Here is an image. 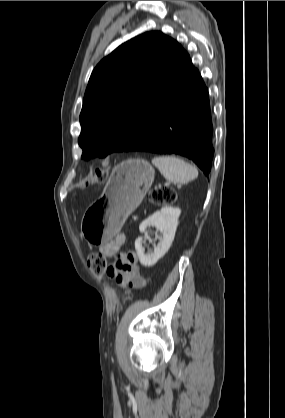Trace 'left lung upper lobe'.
Listing matches in <instances>:
<instances>
[{"instance_id":"5c2ea615","label":"left lung upper lobe","mask_w":285,"mask_h":418,"mask_svg":"<svg viewBox=\"0 0 285 418\" xmlns=\"http://www.w3.org/2000/svg\"><path fill=\"white\" fill-rule=\"evenodd\" d=\"M183 47L161 32L141 34L116 48L94 68L80 113L82 158L122 152L168 86Z\"/></svg>"}]
</instances>
